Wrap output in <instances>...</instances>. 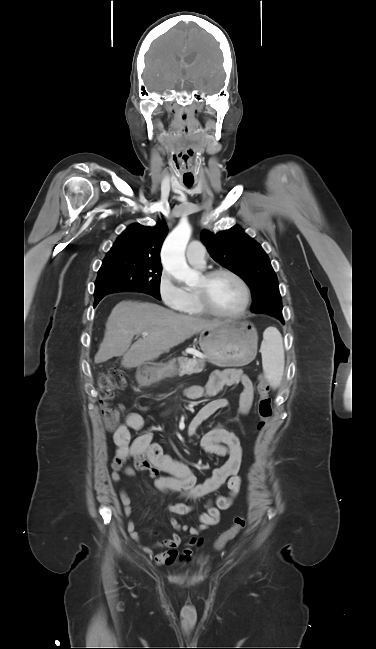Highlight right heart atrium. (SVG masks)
<instances>
[{
	"instance_id": "right-heart-atrium-1",
	"label": "right heart atrium",
	"mask_w": 376,
	"mask_h": 649,
	"mask_svg": "<svg viewBox=\"0 0 376 649\" xmlns=\"http://www.w3.org/2000/svg\"><path fill=\"white\" fill-rule=\"evenodd\" d=\"M157 290L163 303L172 309H179L185 300V289L166 269L159 274Z\"/></svg>"
}]
</instances>
